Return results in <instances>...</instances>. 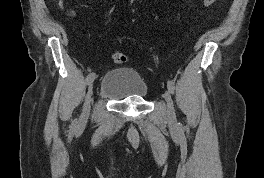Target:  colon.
Segmentation results:
<instances>
[{
    "instance_id": "1",
    "label": "colon",
    "mask_w": 264,
    "mask_h": 178,
    "mask_svg": "<svg viewBox=\"0 0 264 178\" xmlns=\"http://www.w3.org/2000/svg\"><path fill=\"white\" fill-rule=\"evenodd\" d=\"M206 2V0H204V3ZM112 60L114 63L120 64V63H124L127 60V56L123 53L120 52H116L114 54H112L111 56Z\"/></svg>"
}]
</instances>
